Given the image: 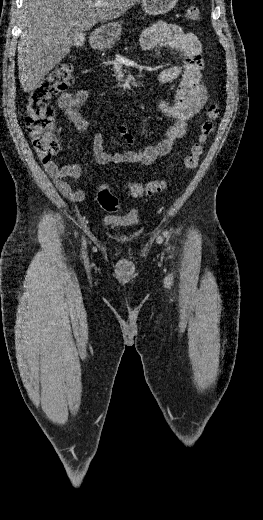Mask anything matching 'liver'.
I'll use <instances>...</instances> for the list:
<instances>
[{"mask_svg":"<svg viewBox=\"0 0 263 520\" xmlns=\"http://www.w3.org/2000/svg\"><path fill=\"white\" fill-rule=\"evenodd\" d=\"M98 1L104 6L95 7ZM139 0H24L18 71L24 92L38 83L70 52L72 28L88 31L124 15Z\"/></svg>","mask_w":263,"mask_h":520,"instance_id":"1","label":"liver"}]
</instances>
